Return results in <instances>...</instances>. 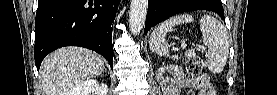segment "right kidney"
<instances>
[{"instance_id":"right-kidney-1","label":"right kidney","mask_w":277,"mask_h":95,"mask_svg":"<svg viewBox=\"0 0 277 95\" xmlns=\"http://www.w3.org/2000/svg\"><path fill=\"white\" fill-rule=\"evenodd\" d=\"M108 88L104 84H99L97 80L88 79L80 82L73 87L68 95H90L96 92L99 95H107Z\"/></svg>"}]
</instances>
